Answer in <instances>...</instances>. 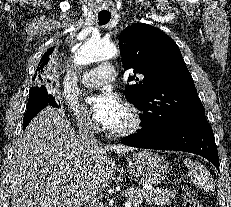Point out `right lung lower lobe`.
Returning <instances> with one entry per match:
<instances>
[{
  "label": "right lung lower lobe",
  "mask_w": 231,
  "mask_h": 207,
  "mask_svg": "<svg viewBox=\"0 0 231 207\" xmlns=\"http://www.w3.org/2000/svg\"><path fill=\"white\" fill-rule=\"evenodd\" d=\"M47 105L58 107L54 98L48 94L47 89H41L34 97V100L28 103L27 111L23 119V127L26 128L30 121Z\"/></svg>",
  "instance_id": "right-lung-lower-lobe-1"
}]
</instances>
